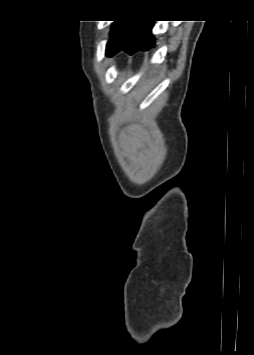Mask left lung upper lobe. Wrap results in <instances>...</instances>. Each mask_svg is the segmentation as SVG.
<instances>
[{"label": "left lung upper lobe", "instance_id": "1", "mask_svg": "<svg viewBox=\"0 0 254 355\" xmlns=\"http://www.w3.org/2000/svg\"><path fill=\"white\" fill-rule=\"evenodd\" d=\"M130 21H116L112 26L111 38L109 39L106 47V55L112 56V50L115 44L118 42L122 33Z\"/></svg>", "mask_w": 254, "mask_h": 355}]
</instances>
